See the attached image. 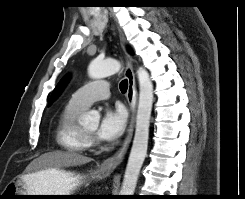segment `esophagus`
<instances>
[{
  "label": "esophagus",
  "mask_w": 245,
  "mask_h": 199,
  "mask_svg": "<svg viewBox=\"0 0 245 199\" xmlns=\"http://www.w3.org/2000/svg\"><path fill=\"white\" fill-rule=\"evenodd\" d=\"M120 41L123 50L125 52V60H126V68H125L124 75L128 80L126 98L130 107V122L127 130V136L123 142L122 147L113 156L105 159L100 166L101 170L106 172L113 171L122 162L133 136L135 118H136L137 90H136V83H135V74L133 70V61H132V57L125 50L126 41L122 33H120Z\"/></svg>",
  "instance_id": "esophagus-1"
}]
</instances>
